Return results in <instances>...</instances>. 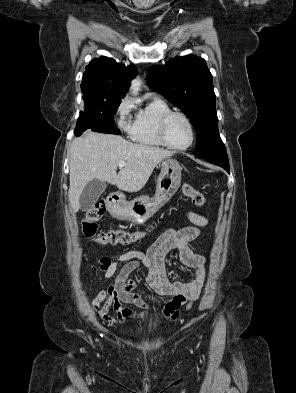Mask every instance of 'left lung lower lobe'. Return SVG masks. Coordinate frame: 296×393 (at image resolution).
Instances as JSON below:
<instances>
[{
    "label": "left lung lower lobe",
    "mask_w": 296,
    "mask_h": 393,
    "mask_svg": "<svg viewBox=\"0 0 296 393\" xmlns=\"http://www.w3.org/2000/svg\"><path fill=\"white\" fill-rule=\"evenodd\" d=\"M207 160L210 163L215 165L221 166L224 168L228 173H230L228 157H210V158H202Z\"/></svg>",
    "instance_id": "0a47b994"
}]
</instances>
